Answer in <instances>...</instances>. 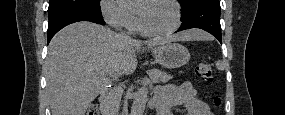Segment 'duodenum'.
<instances>
[{"label":"duodenum","mask_w":285,"mask_h":115,"mask_svg":"<svg viewBox=\"0 0 285 115\" xmlns=\"http://www.w3.org/2000/svg\"><path fill=\"white\" fill-rule=\"evenodd\" d=\"M109 102H110V92L108 90H103L99 95V104L102 115L112 114Z\"/></svg>","instance_id":"obj_1"}]
</instances>
